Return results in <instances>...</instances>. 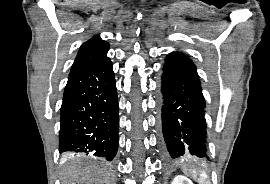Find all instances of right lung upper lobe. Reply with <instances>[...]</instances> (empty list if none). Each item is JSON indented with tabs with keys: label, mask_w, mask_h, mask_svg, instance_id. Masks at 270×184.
I'll use <instances>...</instances> for the list:
<instances>
[{
	"label": "right lung upper lobe",
	"mask_w": 270,
	"mask_h": 184,
	"mask_svg": "<svg viewBox=\"0 0 270 184\" xmlns=\"http://www.w3.org/2000/svg\"><path fill=\"white\" fill-rule=\"evenodd\" d=\"M108 50L109 44L99 36L91 38L81 45L71 71L110 60L106 56Z\"/></svg>",
	"instance_id": "cb5924a9"
}]
</instances>
